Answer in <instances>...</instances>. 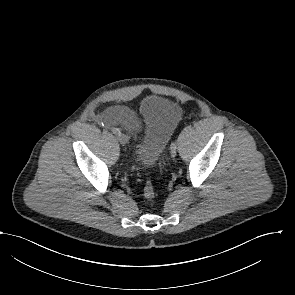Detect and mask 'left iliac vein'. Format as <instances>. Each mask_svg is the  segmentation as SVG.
Segmentation results:
<instances>
[{
  "label": "left iliac vein",
  "mask_w": 295,
  "mask_h": 295,
  "mask_svg": "<svg viewBox=\"0 0 295 295\" xmlns=\"http://www.w3.org/2000/svg\"><path fill=\"white\" fill-rule=\"evenodd\" d=\"M170 155L172 158L176 157L177 155V148H171L170 149Z\"/></svg>",
  "instance_id": "4c4485c4"
}]
</instances>
